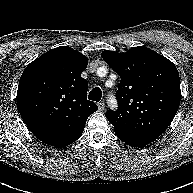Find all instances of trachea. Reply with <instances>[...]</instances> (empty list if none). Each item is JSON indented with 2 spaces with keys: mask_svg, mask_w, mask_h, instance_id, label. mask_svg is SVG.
<instances>
[{
  "mask_svg": "<svg viewBox=\"0 0 193 193\" xmlns=\"http://www.w3.org/2000/svg\"><path fill=\"white\" fill-rule=\"evenodd\" d=\"M102 97V91L99 87H95L90 93H89V100L99 102Z\"/></svg>",
  "mask_w": 193,
  "mask_h": 193,
  "instance_id": "1",
  "label": "trachea"
}]
</instances>
